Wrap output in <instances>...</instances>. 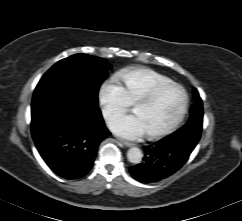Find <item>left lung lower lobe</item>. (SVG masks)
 I'll list each match as a JSON object with an SVG mask.
<instances>
[{
	"label": "left lung lower lobe",
	"instance_id": "obj_1",
	"mask_svg": "<svg viewBox=\"0 0 242 221\" xmlns=\"http://www.w3.org/2000/svg\"><path fill=\"white\" fill-rule=\"evenodd\" d=\"M201 133L177 131L155 145L144 147L143 162L129 168L130 174L139 182L160 181L179 170L197 145Z\"/></svg>",
	"mask_w": 242,
	"mask_h": 221
}]
</instances>
